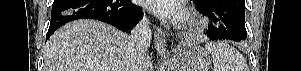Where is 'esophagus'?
Listing matches in <instances>:
<instances>
[{"mask_svg": "<svg viewBox=\"0 0 301 71\" xmlns=\"http://www.w3.org/2000/svg\"><path fill=\"white\" fill-rule=\"evenodd\" d=\"M154 44L156 51L163 55L166 53L165 33L160 28L154 30Z\"/></svg>", "mask_w": 301, "mask_h": 71, "instance_id": "esophagus-1", "label": "esophagus"}]
</instances>
